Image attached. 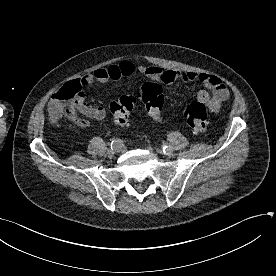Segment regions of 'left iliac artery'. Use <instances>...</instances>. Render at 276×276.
I'll list each match as a JSON object with an SVG mask.
<instances>
[{"label":"left iliac artery","instance_id":"1","mask_svg":"<svg viewBox=\"0 0 276 276\" xmlns=\"http://www.w3.org/2000/svg\"><path fill=\"white\" fill-rule=\"evenodd\" d=\"M162 149H163V152H167L172 149V146L169 144H163Z\"/></svg>","mask_w":276,"mask_h":276}]
</instances>
